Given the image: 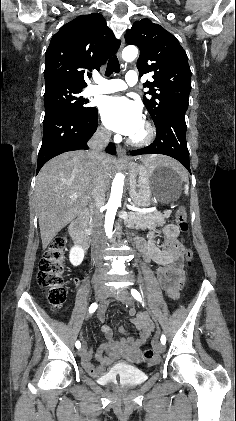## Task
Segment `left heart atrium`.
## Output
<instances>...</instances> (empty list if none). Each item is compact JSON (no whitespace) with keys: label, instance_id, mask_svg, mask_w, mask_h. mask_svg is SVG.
Returning a JSON list of instances; mask_svg holds the SVG:
<instances>
[{"label":"left heart atrium","instance_id":"obj_1","mask_svg":"<svg viewBox=\"0 0 236 421\" xmlns=\"http://www.w3.org/2000/svg\"><path fill=\"white\" fill-rule=\"evenodd\" d=\"M108 127L123 135H133L143 125L139 107L123 96L105 98L100 106Z\"/></svg>","mask_w":236,"mask_h":421}]
</instances>
